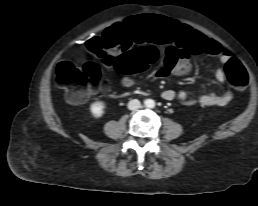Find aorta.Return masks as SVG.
<instances>
[{
    "label": "aorta",
    "mask_w": 258,
    "mask_h": 206,
    "mask_svg": "<svg viewBox=\"0 0 258 206\" xmlns=\"http://www.w3.org/2000/svg\"><path fill=\"white\" fill-rule=\"evenodd\" d=\"M146 105L148 107H154L155 103H154V101L150 100Z\"/></svg>",
    "instance_id": "obj_1"
}]
</instances>
